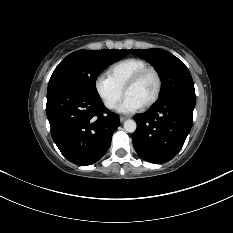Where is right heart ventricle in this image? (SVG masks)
Wrapping results in <instances>:
<instances>
[{
  "mask_svg": "<svg viewBox=\"0 0 233 233\" xmlns=\"http://www.w3.org/2000/svg\"><path fill=\"white\" fill-rule=\"evenodd\" d=\"M146 66L148 63L141 58H126L111 65L107 76L123 90L128 80Z\"/></svg>",
  "mask_w": 233,
  "mask_h": 233,
  "instance_id": "e07e8e85",
  "label": "right heart ventricle"
}]
</instances>
